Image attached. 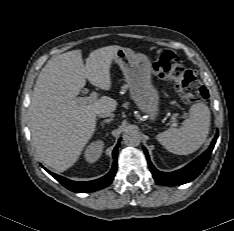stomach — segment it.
Listing matches in <instances>:
<instances>
[{"instance_id":"obj_1","label":"stomach","mask_w":234,"mask_h":231,"mask_svg":"<svg viewBox=\"0 0 234 231\" xmlns=\"http://www.w3.org/2000/svg\"><path fill=\"white\" fill-rule=\"evenodd\" d=\"M114 61L123 72L130 96L138 109L155 120L159 114V92L151 80L152 64L142 53H135L129 48H121Z\"/></svg>"}]
</instances>
